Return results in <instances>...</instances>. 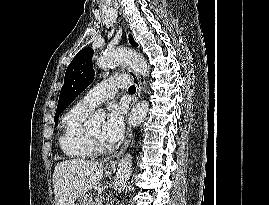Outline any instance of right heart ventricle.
Wrapping results in <instances>:
<instances>
[{"label": "right heart ventricle", "instance_id": "e07e8e85", "mask_svg": "<svg viewBox=\"0 0 269 205\" xmlns=\"http://www.w3.org/2000/svg\"><path fill=\"white\" fill-rule=\"evenodd\" d=\"M90 110L78 104L72 107L62 119V131L59 145L64 155L73 160L90 158L93 151L87 138V130L84 121Z\"/></svg>", "mask_w": 269, "mask_h": 205}]
</instances>
